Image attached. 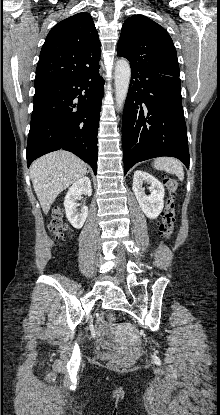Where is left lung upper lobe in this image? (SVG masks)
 I'll list each match as a JSON object with an SVG mask.
<instances>
[{
    "mask_svg": "<svg viewBox=\"0 0 220 415\" xmlns=\"http://www.w3.org/2000/svg\"><path fill=\"white\" fill-rule=\"evenodd\" d=\"M117 54L130 66L179 77L173 41L167 31L143 15H132L122 26Z\"/></svg>",
    "mask_w": 220,
    "mask_h": 415,
    "instance_id": "1",
    "label": "left lung upper lobe"
}]
</instances>
